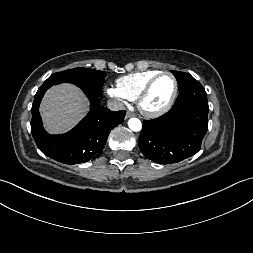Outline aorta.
Wrapping results in <instances>:
<instances>
[{"label":"aorta","mask_w":253,"mask_h":253,"mask_svg":"<svg viewBox=\"0 0 253 253\" xmlns=\"http://www.w3.org/2000/svg\"><path fill=\"white\" fill-rule=\"evenodd\" d=\"M128 126L132 131L138 132L142 128V123L138 118H131L128 121Z\"/></svg>","instance_id":"aorta-1"}]
</instances>
